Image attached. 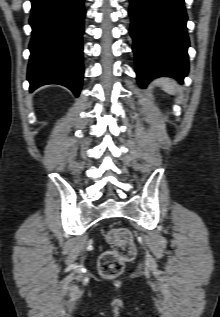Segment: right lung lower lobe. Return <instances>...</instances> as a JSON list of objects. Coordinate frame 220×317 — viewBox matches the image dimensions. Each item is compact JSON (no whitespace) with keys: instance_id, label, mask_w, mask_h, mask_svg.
Segmentation results:
<instances>
[{"instance_id":"98d812e1","label":"right lung lower lobe","mask_w":220,"mask_h":317,"mask_svg":"<svg viewBox=\"0 0 220 317\" xmlns=\"http://www.w3.org/2000/svg\"><path fill=\"white\" fill-rule=\"evenodd\" d=\"M30 91L60 84L79 95L83 79V0H31Z\"/></svg>"}]
</instances>
